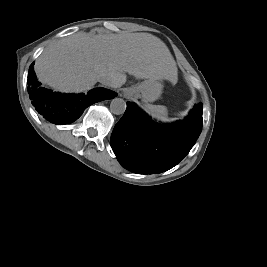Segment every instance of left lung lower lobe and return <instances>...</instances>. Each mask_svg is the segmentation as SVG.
Segmentation results:
<instances>
[{"label":"left lung lower lobe","mask_w":267,"mask_h":267,"mask_svg":"<svg viewBox=\"0 0 267 267\" xmlns=\"http://www.w3.org/2000/svg\"><path fill=\"white\" fill-rule=\"evenodd\" d=\"M202 104L173 124L152 121L136 104L127 109L111 135L120 164L138 174H155L177 165L193 147L202 129Z\"/></svg>","instance_id":"1"}]
</instances>
